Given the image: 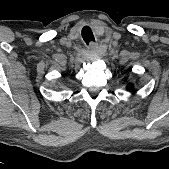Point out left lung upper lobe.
I'll list each match as a JSON object with an SVG mask.
<instances>
[{"mask_svg":"<svg viewBox=\"0 0 169 169\" xmlns=\"http://www.w3.org/2000/svg\"><path fill=\"white\" fill-rule=\"evenodd\" d=\"M132 88H133L132 85H128V86H127V90H128V91H130Z\"/></svg>","mask_w":169,"mask_h":169,"instance_id":"obj_1","label":"left lung upper lobe"}]
</instances>
